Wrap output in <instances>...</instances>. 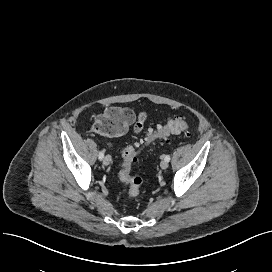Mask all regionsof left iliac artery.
Segmentation results:
<instances>
[{
	"instance_id": "left-iliac-artery-1",
	"label": "left iliac artery",
	"mask_w": 272,
	"mask_h": 272,
	"mask_svg": "<svg viewBox=\"0 0 272 272\" xmlns=\"http://www.w3.org/2000/svg\"><path fill=\"white\" fill-rule=\"evenodd\" d=\"M164 160H166L167 162H169L170 161V156L169 155H165Z\"/></svg>"
}]
</instances>
